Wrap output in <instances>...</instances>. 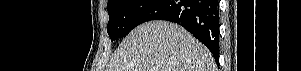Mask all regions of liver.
<instances>
[{"label": "liver", "instance_id": "obj_1", "mask_svg": "<svg viewBox=\"0 0 301 71\" xmlns=\"http://www.w3.org/2000/svg\"><path fill=\"white\" fill-rule=\"evenodd\" d=\"M106 71H216V63L209 50L182 27L151 21L123 39Z\"/></svg>", "mask_w": 301, "mask_h": 71}]
</instances>
